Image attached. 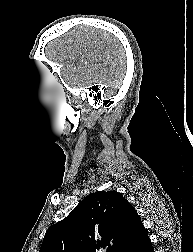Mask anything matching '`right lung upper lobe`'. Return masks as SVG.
Instances as JSON below:
<instances>
[{
	"label": "right lung upper lobe",
	"instance_id": "right-lung-upper-lobe-1",
	"mask_svg": "<svg viewBox=\"0 0 193 252\" xmlns=\"http://www.w3.org/2000/svg\"><path fill=\"white\" fill-rule=\"evenodd\" d=\"M143 229L136 210L121 194L95 192L48 228L39 252H124Z\"/></svg>",
	"mask_w": 193,
	"mask_h": 252
}]
</instances>
